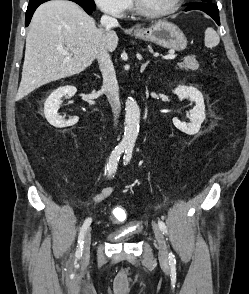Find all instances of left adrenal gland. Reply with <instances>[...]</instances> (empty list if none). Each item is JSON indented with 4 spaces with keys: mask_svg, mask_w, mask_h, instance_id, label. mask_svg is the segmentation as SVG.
<instances>
[{
    "mask_svg": "<svg viewBox=\"0 0 249 294\" xmlns=\"http://www.w3.org/2000/svg\"><path fill=\"white\" fill-rule=\"evenodd\" d=\"M148 63H149V61H147L146 63H144V64L141 65V70H140L141 73L144 72V70H145L146 66L148 65Z\"/></svg>",
    "mask_w": 249,
    "mask_h": 294,
    "instance_id": "a2214340",
    "label": "left adrenal gland"
}]
</instances>
